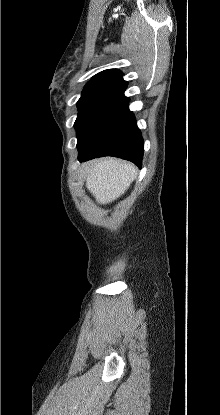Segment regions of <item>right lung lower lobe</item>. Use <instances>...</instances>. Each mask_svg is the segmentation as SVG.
Returning a JSON list of instances; mask_svg holds the SVG:
<instances>
[{"label":"right lung lower lobe","mask_w":220,"mask_h":415,"mask_svg":"<svg viewBox=\"0 0 220 415\" xmlns=\"http://www.w3.org/2000/svg\"><path fill=\"white\" fill-rule=\"evenodd\" d=\"M144 142L128 103L106 124L87 150H79L80 162L102 156H115L142 166Z\"/></svg>","instance_id":"98d812e1"}]
</instances>
